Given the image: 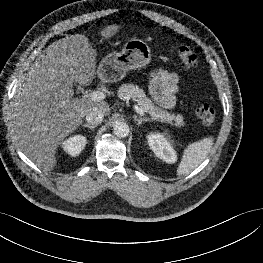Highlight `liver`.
<instances>
[{
	"label": "liver",
	"mask_w": 263,
	"mask_h": 263,
	"mask_svg": "<svg viewBox=\"0 0 263 263\" xmlns=\"http://www.w3.org/2000/svg\"><path fill=\"white\" fill-rule=\"evenodd\" d=\"M119 29V25H109L101 36L110 38ZM96 56L85 35L60 39L35 60L15 90L10 113L15 142L44 171L56 166L59 145L79 127L90 109L110 113L105 101L72 98L73 82L88 86L95 79Z\"/></svg>",
	"instance_id": "1"
}]
</instances>
